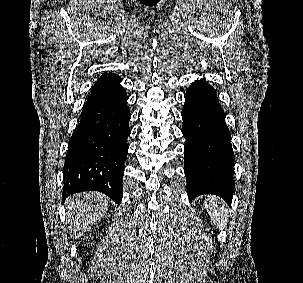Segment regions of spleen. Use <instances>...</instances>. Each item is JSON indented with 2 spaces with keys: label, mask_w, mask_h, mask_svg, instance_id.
I'll use <instances>...</instances> for the list:
<instances>
[{
  "label": "spleen",
  "mask_w": 303,
  "mask_h": 283,
  "mask_svg": "<svg viewBox=\"0 0 303 283\" xmlns=\"http://www.w3.org/2000/svg\"><path fill=\"white\" fill-rule=\"evenodd\" d=\"M204 208L208 212L212 222L219 230H223L228 221V209L223 200L215 196H209L204 201Z\"/></svg>",
  "instance_id": "obj_1"
}]
</instances>
